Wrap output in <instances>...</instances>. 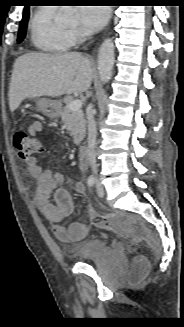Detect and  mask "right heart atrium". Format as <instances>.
Returning a JSON list of instances; mask_svg holds the SVG:
<instances>
[{
  "mask_svg": "<svg viewBox=\"0 0 184 327\" xmlns=\"http://www.w3.org/2000/svg\"><path fill=\"white\" fill-rule=\"evenodd\" d=\"M70 34L72 36L74 44L78 43L81 40L82 34L78 30H71Z\"/></svg>",
  "mask_w": 184,
  "mask_h": 327,
  "instance_id": "1",
  "label": "right heart atrium"
}]
</instances>
